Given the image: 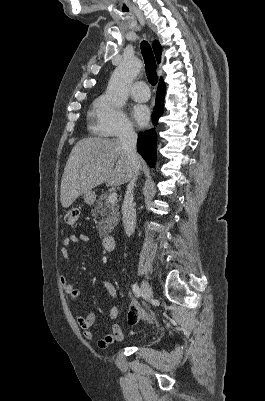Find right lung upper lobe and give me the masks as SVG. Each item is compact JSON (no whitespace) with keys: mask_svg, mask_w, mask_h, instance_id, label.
Returning <instances> with one entry per match:
<instances>
[{"mask_svg":"<svg viewBox=\"0 0 265 401\" xmlns=\"http://www.w3.org/2000/svg\"><path fill=\"white\" fill-rule=\"evenodd\" d=\"M153 50H154L157 62L160 63L162 48H161V45L157 41L153 42ZM162 81L163 80L161 79L160 82H162Z\"/></svg>","mask_w":265,"mask_h":401,"instance_id":"cb5924a9","label":"right lung upper lobe"}]
</instances>
